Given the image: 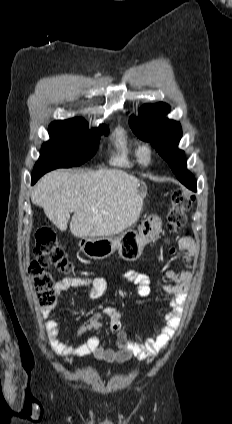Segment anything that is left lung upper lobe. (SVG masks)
Returning a JSON list of instances; mask_svg holds the SVG:
<instances>
[{
    "label": "left lung upper lobe",
    "mask_w": 232,
    "mask_h": 424,
    "mask_svg": "<svg viewBox=\"0 0 232 424\" xmlns=\"http://www.w3.org/2000/svg\"><path fill=\"white\" fill-rule=\"evenodd\" d=\"M136 118L130 117V127L141 138L151 142L158 153L168 162L180 180L191 176L186 169L184 152L178 149L182 129L178 122L164 118L170 107L165 103L145 104Z\"/></svg>",
    "instance_id": "5c2ea615"
}]
</instances>
